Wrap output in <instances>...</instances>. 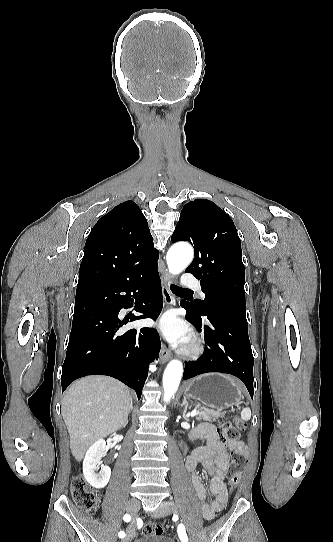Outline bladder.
I'll return each mask as SVG.
<instances>
[{"instance_id":"obj_1","label":"bladder","mask_w":333,"mask_h":542,"mask_svg":"<svg viewBox=\"0 0 333 542\" xmlns=\"http://www.w3.org/2000/svg\"><path fill=\"white\" fill-rule=\"evenodd\" d=\"M135 542H174L170 537L161 534H148L144 535Z\"/></svg>"}]
</instances>
